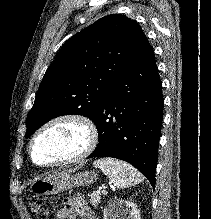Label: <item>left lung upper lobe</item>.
Listing matches in <instances>:
<instances>
[{
    "mask_svg": "<svg viewBox=\"0 0 211 219\" xmlns=\"http://www.w3.org/2000/svg\"><path fill=\"white\" fill-rule=\"evenodd\" d=\"M147 41L139 24L121 14L105 16L67 40L43 77L25 136L61 115L93 121L106 93Z\"/></svg>",
    "mask_w": 211,
    "mask_h": 219,
    "instance_id": "1",
    "label": "left lung upper lobe"
}]
</instances>
